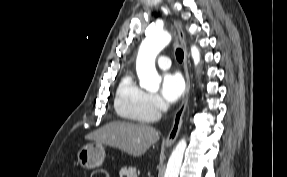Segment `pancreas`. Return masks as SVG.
Here are the masks:
<instances>
[{
	"label": "pancreas",
	"mask_w": 287,
	"mask_h": 177,
	"mask_svg": "<svg viewBox=\"0 0 287 177\" xmlns=\"http://www.w3.org/2000/svg\"><path fill=\"white\" fill-rule=\"evenodd\" d=\"M120 177L126 176V177H137L138 173L135 168L129 167L128 169L122 168L119 172Z\"/></svg>",
	"instance_id": "pancreas-1"
}]
</instances>
